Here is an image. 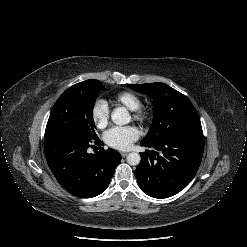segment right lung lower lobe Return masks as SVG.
Instances as JSON below:
<instances>
[{"label":"right lung lower lobe","instance_id":"right-lung-lower-lobe-1","mask_svg":"<svg viewBox=\"0 0 247 247\" xmlns=\"http://www.w3.org/2000/svg\"><path fill=\"white\" fill-rule=\"evenodd\" d=\"M91 144L103 145L98 137L86 139L71 133L44 138L46 160L53 175L67 192L81 198L104 192L121 160L120 153L111 148L99 147L95 154L88 153Z\"/></svg>","mask_w":247,"mask_h":247}]
</instances>
